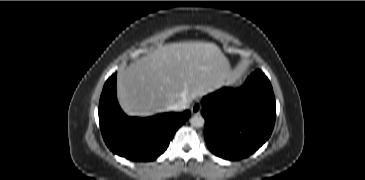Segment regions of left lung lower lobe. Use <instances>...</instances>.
Instances as JSON below:
<instances>
[{"mask_svg": "<svg viewBox=\"0 0 365 180\" xmlns=\"http://www.w3.org/2000/svg\"><path fill=\"white\" fill-rule=\"evenodd\" d=\"M201 113L209 150L227 160L245 158L272 133L276 104L271 83L256 70L242 87L222 88L204 97Z\"/></svg>", "mask_w": 365, "mask_h": 180, "instance_id": "left-lung-lower-lobe-1", "label": "left lung lower lobe"}]
</instances>
